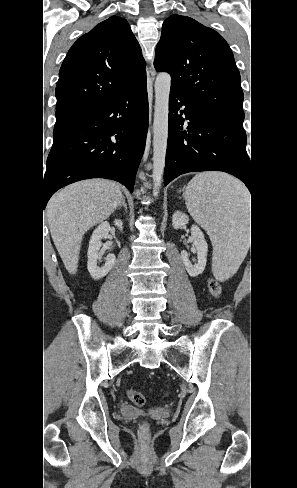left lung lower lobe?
Wrapping results in <instances>:
<instances>
[{"instance_id":"left-lung-lower-lobe-1","label":"left lung lower lobe","mask_w":297,"mask_h":488,"mask_svg":"<svg viewBox=\"0 0 297 488\" xmlns=\"http://www.w3.org/2000/svg\"><path fill=\"white\" fill-rule=\"evenodd\" d=\"M165 163V186L184 173L215 170L239 178L252 193V168L244 129L200 110L173 91L169 97Z\"/></svg>"}]
</instances>
